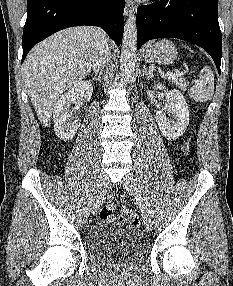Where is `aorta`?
<instances>
[{"label":"aorta","mask_w":233,"mask_h":286,"mask_svg":"<svg viewBox=\"0 0 233 286\" xmlns=\"http://www.w3.org/2000/svg\"><path fill=\"white\" fill-rule=\"evenodd\" d=\"M136 41V16L133 12H130L129 18L125 23L120 57V76L121 81L124 83H128L130 81L135 70L137 57Z\"/></svg>","instance_id":"762f6f07"}]
</instances>
